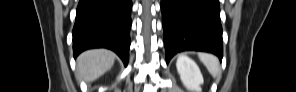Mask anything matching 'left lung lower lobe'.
Wrapping results in <instances>:
<instances>
[{
  "label": "left lung lower lobe",
  "mask_w": 296,
  "mask_h": 92,
  "mask_svg": "<svg viewBox=\"0 0 296 92\" xmlns=\"http://www.w3.org/2000/svg\"><path fill=\"white\" fill-rule=\"evenodd\" d=\"M166 62L178 52L223 57L219 0H161Z\"/></svg>",
  "instance_id": "obj_1"
}]
</instances>
